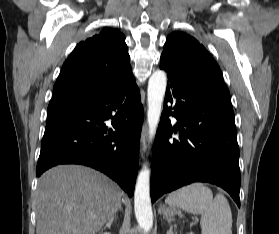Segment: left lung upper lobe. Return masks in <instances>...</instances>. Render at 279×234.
Segmentation results:
<instances>
[{"label":"left lung upper lobe","instance_id":"5c2ea615","mask_svg":"<svg viewBox=\"0 0 279 234\" xmlns=\"http://www.w3.org/2000/svg\"><path fill=\"white\" fill-rule=\"evenodd\" d=\"M161 56L193 73L223 80L222 72L205 47L192 36L183 32L171 33Z\"/></svg>","mask_w":279,"mask_h":234}]
</instances>
